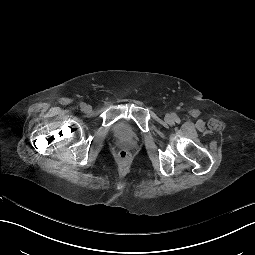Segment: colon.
I'll list each match as a JSON object with an SVG mask.
<instances>
[{"label": "colon", "mask_w": 255, "mask_h": 255, "mask_svg": "<svg viewBox=\"0 0 255 255\" xmlns=\"http://www.w3.org/2000/svg\"><path fill=\"white\" fill-rule=\"evenodd\" d=\"M127 157H128L127 152L121 151V152L119 153V158H120L121 160H126Z\"/></svg>", "instance_id": "1"}]
</instances>
